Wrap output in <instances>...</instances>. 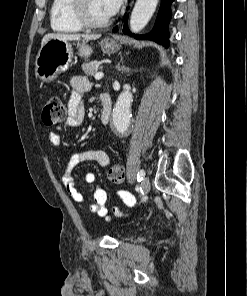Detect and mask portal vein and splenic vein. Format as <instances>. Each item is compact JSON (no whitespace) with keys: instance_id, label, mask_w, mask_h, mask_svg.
Returning <instances> with one entry per match:
<instances>
[{"instance_id":"portal-vein-and-splenic-vein-1","label":"portal vein and splenic vein","mask_w":247,"mask_h":296,"mask_svg":"<svg viewBox=\"0 0 247 296\" xmlns=\"http://www.w3.org/2000/svg\"><path fill=\"white\" fill-rule=\"evenodd\" d=\"M103 76H104V74L102 72H98V73L95 74V79L100 80V79L103 78Z\"/></svg>"}]
</instances>
